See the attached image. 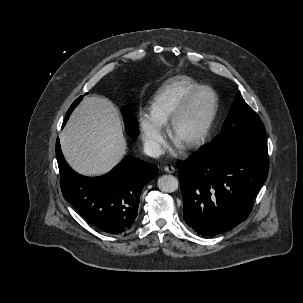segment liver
I'll return each instance as SVG.
<instances>
[{"label": "liver", "mask_w": 303, "mask_h": 303, "mask_svg": "<svg viewBox=\"0 0 303 303\" xmlns=\"http://www.w3.org/2000/svg\"><path fill=\"white\" fill-rule=\"evenodd\" d=\"M60 144L68 164L83 175L109 172L127 148L115 107L99 96L84 98L75 109Z\"/></svg>", "instance_id": "liver-1"}]
</instances>
